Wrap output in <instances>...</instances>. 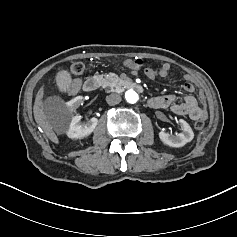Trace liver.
Segmentation results:
<instances>
[{
  "label": "liver",
  "mask_w": 237,
  "mask_h": 237,
  "mask_svg": "<svg viewBox=\"0 0 237 237\" xmlns=\"http://www.w3.org/2000/svg\"><path fill=\"white\" fill-rule=\"evenodd\" d=\"M35 107H36V106H35ZM34 114H35V119H37V118L40 116L39 113H37V112H35ZM45 132H46L47 137H48L52 142H54V143H56V144L59 142V141H58V138H57V136H56V134H55L51 129H46Z\"/></svg>",
  "instance_id": "obj_1"
}]
</instances>
